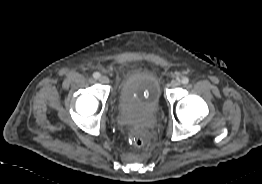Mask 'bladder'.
Here are the masks:
<instances>
[{
  "mask_svg": "<svg viewBox=\"0 0 262 184\" xmlns=\"http://www.w3.org/2000/svg\"><path fill=\"white\" fill-rule=\"evenodd\" d=\"M161 98V84L157 75L146 68L132 71L125 76L119 87L118 105L120 113L129 122L139 119L135 104L140 101L152 109H157Z\"/></svg>",
  "mask_w": 262,
  "mask_h": 184,
  "instance_id": "1",
  "label": "bladder"
}]
</instances>
